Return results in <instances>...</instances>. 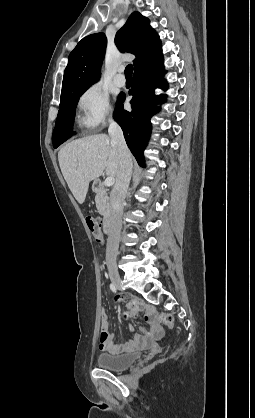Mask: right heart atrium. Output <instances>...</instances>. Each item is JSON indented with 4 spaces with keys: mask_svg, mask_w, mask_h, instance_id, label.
I'll use <instances>...</instances> for the list:
<instances>
[{
    "mask_svg": "<svg viewBox=\"0 0 255 418\" xmlns=\"http://www.w3.org/2000/svg\"><path fill=\"white\" fill-rule=\"evenodd\" d=\"M78 123L87 130H93L112 118V108L107 92L99 85L89 86L77 103Z\"/></svg>",
    "mask_w": 255,
    "mask_h": 418,
    "instance_id": "d8ad5b80",
    "label": "right heart atrium"
}]
</instances>
